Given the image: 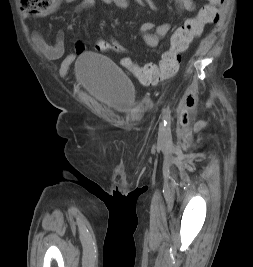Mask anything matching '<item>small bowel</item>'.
<instances>
[{
    "label": "small bowel",
    "instance_id": "small-bowel-1",
    "mask_svg": "<svg viewBox=\"0 0 253 267\" xmlns=\"http://www.w3.org/2000/svg\"><path fill=\"white\" fill-rule=\"evenodd\" d=\"M68 4L74 3L76 0H57V5L62 2ZM107 5L115 6L121 9H125L130 5V0H101ZM175 9L178 13L181 12H192L195 10L194 0H173ZM96 4V0H80L76 6L75 11L81 12L90 8H93ZM173 29V24L170 22L161 23L158 25L152 22L146 21L141 24V31L144 35L145 43L151 47L156 48L159 42ZM33 42L37 49L48 59L57 60L62 57L61 70H67L70 65L74 62L77 54L85 50L83 42H77L75 51L69 52L65 55L66 45L64 41V35L62 31H59L54 44H49L40 31L35 30L33 33Z\"/></svg>",
    "mask_w": 253,
    "mask_h": 267
}]
</instances>
